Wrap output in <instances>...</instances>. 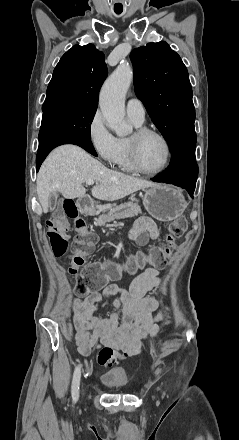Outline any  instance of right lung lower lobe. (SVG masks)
I'll use <instances>...</instances> for the list:
<instances>
[{"instance_id": "98d812e1", "label": "right lung lower lobe", "mask_w": 239, "mask_h": 440, "mask_svg": "<svg viewBox=\"0 0 239 440\" xmlns=\"http://www.w3.org/2000/svg\"><path fill=\"white\" fill-rule=\"evenodd\" d=\"M62 144H76L84 148L92 155L97 156V153L89 137L78 133L58 134V135L50 136L44 139L42 142H40L36 157L37 171L39 170L42 162L44 161L46 156L50 153V151Z\"/></svg>"}]
</instances>
